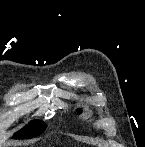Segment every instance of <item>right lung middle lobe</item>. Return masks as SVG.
I'll list each match as a JSON object with an SVG mask.
<instances>
[{
	"label": "right lung middle lobe",
	"instance_id": "1",
	"mask_svg": "<svg viewBox=\"0 0 145 147\" xmlns=\"http://www.w3.org/2000/svg\"><path fill=\"white\" fill-rule=\"evenodd\" d=\"M46 129V124L42 121L35 120L30 122L23 129L14 134V139H26L40 135Z\"/></svg>",
	"mask_w": 145,
	"mask_h": 147
}]
</instances>
